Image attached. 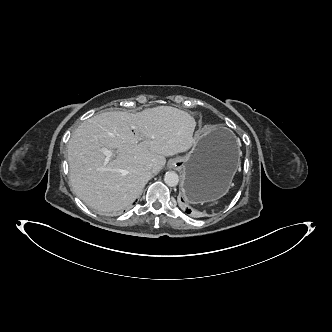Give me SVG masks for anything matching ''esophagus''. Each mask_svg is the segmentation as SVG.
Returning a JSON list of instances; mask_svg holds the SVG:
<instances>
[{"label": "esophagus", "mask_w": 332, "mask_h": 332, "mask_svg": "<svg viewBox=\"0 0 332 332\" xmlns=\"http://www.w3.org/2000/svg\"><path fill=\"white\" fill-rule=\"evenodd\" d=\"M171 168H176L177 166H176V164H171V166H170Z\"/></svg>", "instance_id": "34e87169"}]
</instances>
